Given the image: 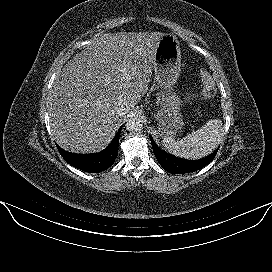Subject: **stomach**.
<instances>
[{"label": "stomach", "instance_id": "obj_1", "mask_svg": "<svg viewBox=\"0 0 272 272\" xmlns=\"http://www.w3.org/2000/svg\"><path fill=\"white\" fill-rule=\"evenodd\" d=\"M155 78L162 89L159 106L154 113L162 137L176 134L184 127L182 99L174 88L181 71V50L177 37L166 33L159 41L154 64Z\"/></svg>", "mask_w": 272, "mask_h": 272}]
</instances>
